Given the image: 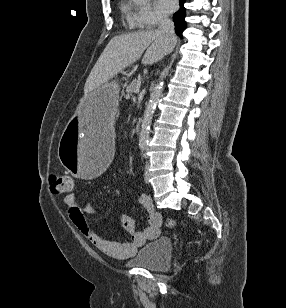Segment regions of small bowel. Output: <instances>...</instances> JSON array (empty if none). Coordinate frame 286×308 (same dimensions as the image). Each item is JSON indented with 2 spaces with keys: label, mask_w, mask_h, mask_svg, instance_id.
Returning <instances> with one entry per match:
<instances>
[{
  "label": "small bowel",
  "mask_w": 286,
  "mask_h": 308,
  "mask_svg": "<svg viewBox=\"0 0 286 308\" xmlns=\"http://www.w3.org/2000/svg\"><path fill=\"white\" fill-rule=\"evenodd\" d=\"M137 202L147 211V226L139 231L136 229L134 218L126 214L122 215L121 224L130 234V240L117 242L99 236L88 224L84 213L95 212L94 206L80 203L74 193L64 197L67 214L77 230L98 250L115 258L131 257L148 240H154L159 236L162 217L154 210L150 196L143 194L139 196Z\"/></svg>",
  "instance_id": "c3829d8e"
}]
</instances>
